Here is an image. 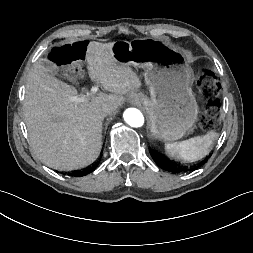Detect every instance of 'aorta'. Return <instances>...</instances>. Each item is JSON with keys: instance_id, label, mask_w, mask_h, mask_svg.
Here are the masks:
<instances>
[{"instance_id": "762f6f07", "label": "aorta", "mask_w": 253, "mask_h": 253, "mask_svg": "<svg viewBox=\"0 0 253 253\" xmlns=\"http://www.w3.org/2000/svg\"><path fill=\"white\" fill-rule=\"evenodd\" d=\"M125 122L131 127H141L144 124L143 114L136 108H128L123 113Z\"/></svg>"}]
</instances>
